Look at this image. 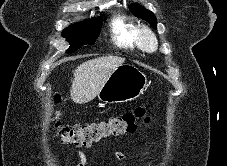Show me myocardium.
<instances>
[{
    "instance_id": "1",
    "label": "myocardium",
    "mask_w": 227,
    "mask_h": 166,
    "mask_svg": "<svg viewBox=\"0 0 227 166\" xmlns=\"http://www.w3.org/2000/svg\"><path fill=\"white\" fill-rule=\"evenodd\" d=\"M136 40L139 47L144 51H152L158 46L156 34L147 25H142L137 29Z\"/></svg>"
}]
</instances>
